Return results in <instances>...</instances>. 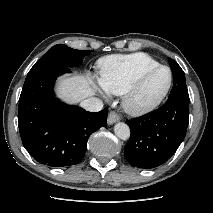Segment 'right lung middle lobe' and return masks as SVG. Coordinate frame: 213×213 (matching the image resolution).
I'll use <instances>...</instances> for the list:
<instances>
[{
    "instance_id": "right-lung-middle-lobe-1",
    "label": "right lung middle lobe",
    "mask_w": 213,
    "mask_h": 213,
    "mask_svg": "<svg viewBox=\"0 0 213 213\" xmlns=\"http://www.w3.org/2000/svg\"><path fill=\"white\" fill-rule=\"evenodd\" d=\"M92 50H76L66 45L58 44L50 48L47 53L32 67H38L49 63H61L69 67H75L82 63L84 56Z\"/></svg>"
}]
</instances>
